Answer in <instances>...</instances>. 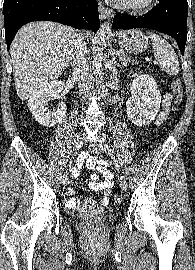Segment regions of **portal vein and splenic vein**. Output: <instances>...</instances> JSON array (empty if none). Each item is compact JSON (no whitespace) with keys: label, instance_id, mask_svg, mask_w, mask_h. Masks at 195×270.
Wrapping results in <instances>:
<instances>
[{"label":"portal vein and splenic vein","instance_id":"portal-vein-and-splenic-vein-1","mask_svg":"<svg viewBox=\"0 0 195 270\" xmlns=\"http://www.w3.org/2000/svg\"><path fill=\"white\" fill-rule=\"evenodd\" d=\"M116 55L120 57L121 56V53L117 52Z\"/></svg>","mask_w":195,"mask_h":270}]
</instances>
